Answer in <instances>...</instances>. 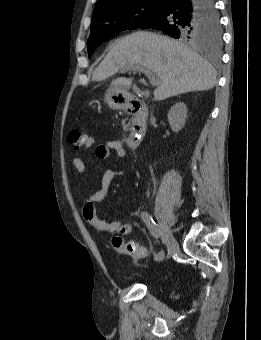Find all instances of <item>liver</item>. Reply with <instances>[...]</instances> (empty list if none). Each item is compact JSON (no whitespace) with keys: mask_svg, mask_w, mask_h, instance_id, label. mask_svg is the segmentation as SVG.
<instances>
[{"mask_svg":"<svg viewBox=\"0 0 261 340\" xmlns=\"http://www.w3.org/2000/svg\"><path fill=\"white\" fill-rule=\"evenodd\" d=\"M142 65L159 78L154 91L155 100L191 91H204L216 84V71L199 54L179 41L151 32L138 31L119 40L108 52L92 75L101 82L119 70ZM132 79L118 77L111 88H129Z\"/></svg>","mask_w":261,"mask_h":340,"instance_id":"1","label":"liver"}]
</instances>
